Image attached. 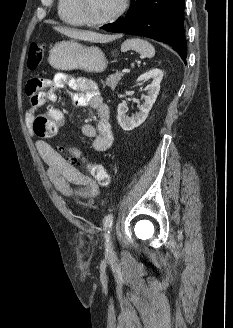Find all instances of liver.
<instances>
[{"label": "liver", "instance_id": "liver-1", "mask_svg": "<svg viewBox=\"0 0 233 328\" xmlns=\"http://www.w3.org/2000/svg\"><path fill=\"white\" fill-rule=\"evenodd\" d=\"M54 29L57 32L64 34L70 38L84 40V41L103 42L105 39L104 35L92 31L77 30V29H71L66 27H54Z\"/></svg>", "mask_w": 233, "mask_h": 328}]
</instances>
